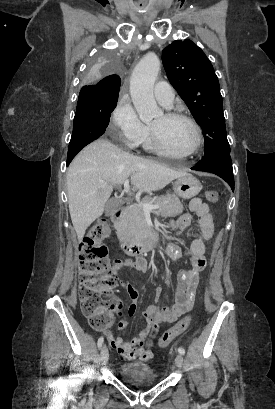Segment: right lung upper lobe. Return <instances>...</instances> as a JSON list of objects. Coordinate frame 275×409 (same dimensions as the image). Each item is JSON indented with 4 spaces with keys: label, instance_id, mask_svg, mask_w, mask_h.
<instances>
[{
    "label": "right lung upper lobe",
    "instance_id": "cb5924a9",
    "mask_svg": "<svg viewBox=\"0 0 275 409\" xmlns=\"http://www.w3.org/2000/svg\"><path fill=\"white\" fill-rule=\"evenodd\" d=\"M121 80L118 75L107 76L100 85H87L82 87L80 94L97 98H117Z\"/></svg>",
    "mask_w": 275,
    "mask_h": 409
}]
</instances>
